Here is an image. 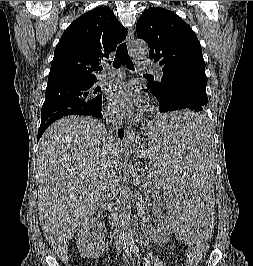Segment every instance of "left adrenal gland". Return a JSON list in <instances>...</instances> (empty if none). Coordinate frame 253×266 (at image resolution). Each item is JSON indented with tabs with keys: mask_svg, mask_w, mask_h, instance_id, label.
<instances>
[{
	"mask_svg": "<svg viewBox=\"0 0 253 266\" xmlns=\"http://www.w3.org/2000/svg\"><path fill=\"white\" fill-rule=\"evenodd\" d=\"M136 183L139 186V189H142L144 187L143 186V180L141 178H139V179L137 178Z\"/></svg>",
	"mask_w": 253,
	"mask_h": 266,
	"instance_id": "a2214340",
	"label": "left adrenal gland"
}]
</instances>
